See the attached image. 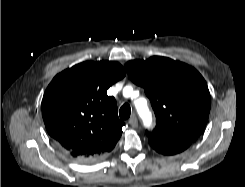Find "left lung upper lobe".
<instances>
[{"label":"left lung upper lobe","instance_id":"5c2ea615","mask_svg":"<svg viewBox=\"0 0 245 187\" xmlns=\"http://www.w3.org/2000/svg\"><path fill=\"white\" fill-rule=\"evenodd\" d=\"M131 80L142 86L156 116L149 139L163 143L195 142L210 112L207 84L193 67L166 57L132 60L125 65Z\"/></svg>","mask_w":245,"mask_h":187}]
</instances>
